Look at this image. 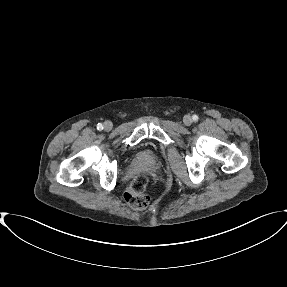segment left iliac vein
Returning <instances> with one entry per match:
<instances>
[{
  "label": "left iliac vein",
  "instance_id": "1",
  "mask_svg": "<svg viewBox=\"0 0 287 287\" xmlns=\"http://www.w3.org/2000/svg\"><path fill=\"white\" fill-rule=\"evenodd\" d=\"M183 122L185 125L189 126L192 124V118L189 116V115H186L184 118H183Z\"/></svg>",
  "mask_w": 287,
  "mask_h": 287
}]
</instances>
